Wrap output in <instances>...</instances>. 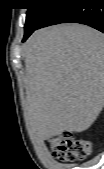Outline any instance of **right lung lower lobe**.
<instances>
[{"mask_svg": "<svg viewBox=\"0 0 104 169\" xmlns=\"http://www.w3.org/2000/svg\"><path fill=\"white\" fill-rule=\"evenodd\" d=\"M55 2L57 4L56 8L38 28L59 23L75 22L89 25L104 32V0H55ZM32 32L27 33L23 41Z\"/></svg>", "mask_w": 104, "mask_h": 169, "instance_id": "98d812e1", "label": "right lung lower lobe"}]
</instances>
